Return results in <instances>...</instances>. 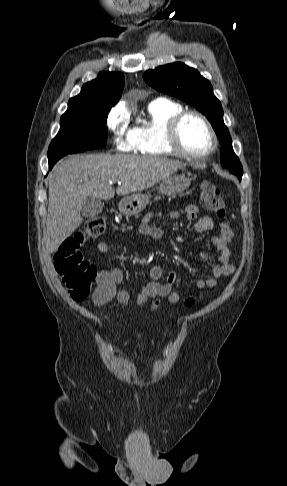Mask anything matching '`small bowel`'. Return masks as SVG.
<instances>
[{"label":"small bowel","instance_id":"small-bowel-1","mask_svg":"<svg viewBox=\"0 0 287 486\" xmlns=\"http://www.w3.org/2000/svg\"><path fill=\"white\" fill-rule=\"evenodd\" d=\"M182 215L179 211L169 212H150L146 214L137 226L139 234L148 236L154 240H159L162 237L161 230L152 225L150 222L154 218H168L178 219ZM185 217L188 220H196L195 230L197 232H205L211 230L214 226L213 220L208 216L198 218V207L196 205H189L185 210ZM233 239V231L227 222H221L219 224V234L212 237V242L218 250V262L219 264L212 269V274L207 279H198L195 282V286L198 289L214 288L218 284V280L222 277L231 275L234 272V265L232 264V254L229 245ZM97 249L105 253L109 249V245L106 241H100L97 245ZM150 281L145 283L140 292L136 295L134 303L137 306H141L152 301V308L158 307L160 299L167 298V300L175 304L179 302L180 295L173 291V285L177 279V273L175 271L169 272L163 278V269L160 265H154L149 272ZM124 280V274L122 270L118 268H107L99 272L97 276V286L92 294V302L96 306H101L112 299H117L121 304H129L132 299L128 291L124 289H118Z\"/></svg>","mask_w":287,"mask_h":486}]
</instances>
